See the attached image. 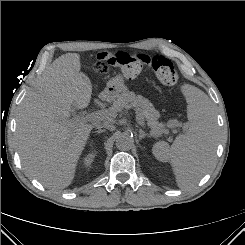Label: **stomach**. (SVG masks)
Returning <instances> with one entry per match:
<instances>
[{
    "mask_svg": "<svg viewBox=\"0 0 245 245\" xmlns=\"http://www.w3.org/2000/svg\"><path fill=\"white\" fill-rule=\"evenodd\" d=\"M126 91L127 86L124 82V78L122 77V75L118 74L108 81L103 95L107 100H115Z\"/></svg>",
    "mask_w": 245,
    "mask_h": 245,
    "instance_id": "obj_1",
    "label": "stomach"
}]
</instances>
